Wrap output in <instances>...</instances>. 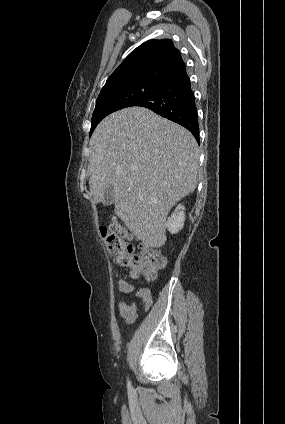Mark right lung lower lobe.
<instances>
[{
    "mask_svg": "<svg viewBox=\"0 0 285 424\" xmlns=\"http://www.w3.org/2000/svg\"><path fill=\"white\" fill-rule=\"evenodd\" d=\"M130 106L148 108L156 114L182 125L193 134L199 143L195 97L186 72L165 82L155 92L136 100Z\"/></svg>",
    "mask_w": 285,
    "mask_h": 424,
    "instance_id": "1",
    "label": "right lung lower lobe"
}]
</instances>
